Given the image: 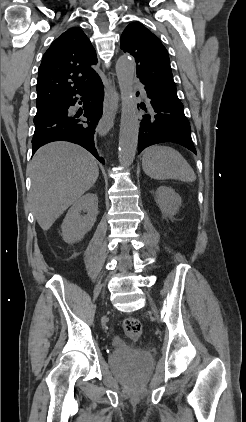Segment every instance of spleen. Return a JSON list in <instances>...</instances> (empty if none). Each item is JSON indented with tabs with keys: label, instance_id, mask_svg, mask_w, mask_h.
<instances>
[{
	"label": "spleen",
	"instance_id": "1",
	"mask_svg": "<svg viewBox=\"0 0 246 422\" xmlns=\"http://www.w3.org/2000/svg\"><path fill=\"white\" fill-rule=\"evenodd\" d=\"M143 171L156 180L178 179L194 182V170L184 157L174 148L154 145L147 148L142 158Z\"/></svg>",
	"mask_w": 246,
	"mask_h": 422
}]
</instances>
